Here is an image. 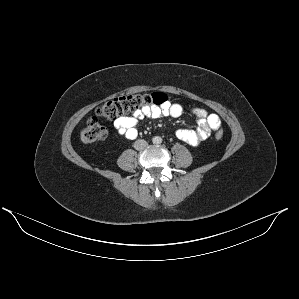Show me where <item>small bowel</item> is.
Here are the masks:
<instances>
[{
    "label": "small bowel",
    "instance_id": "1",
    "mask_svg": "<svg viewBox=\"0 0 299 299\" xmlns=\"http://www.w3.org/2000/svg\"><path fill=\"white\" fill-rule=\"evenodd\" d=\"M191 114L197 119L198 126L196 129H178L176 136L178 139L197 146L206 140L211 131L217 130L221 126V120L218 115L208 113L202 108H192ZM183 114V107L177 103H165L157 107L143 108L133 112L128 116H121L114 120L115 130L126 139H134L138 135L137 126L145 118L157 119L162 116H171L178 118Z\"/></svg>",
    "mask_w": 299,
    "mask_h": 299
}]
</instances>
